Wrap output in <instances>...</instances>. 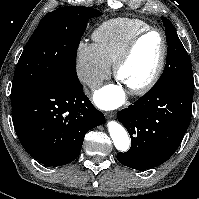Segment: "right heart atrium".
Listing matches in <instances>:
<instances>
[{"mask_svg": "<svg viewBox=\"0 0 199 199\" xmlns=\"http://www.w3.org/2000/svg\"><path fill=\"white\" fill-rule=\"evenodd\" d=\"M111 71L110 63L103 57L95 43L81 41L76 50V74L91 89L98 88Z\"/></svg>", "mask_w": 199, "mask_h": 199, "instance_id": "1", "label": "right heart atrium"}]
</instances>
